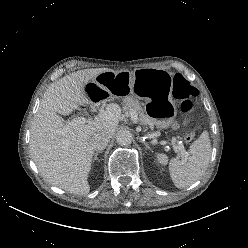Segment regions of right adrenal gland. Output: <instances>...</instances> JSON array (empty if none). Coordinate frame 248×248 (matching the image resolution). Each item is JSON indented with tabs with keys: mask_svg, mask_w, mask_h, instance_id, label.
Masks as SVG:
<instances>
[{
	"mask_svg": "<svg viewBox=\"0 0 248 248\" xmlns=\"http://www.w3.org/2000/svg\"><path fill=\"white\" fill-rule=\"evenodd\" d=\"M102 151H97L95 154H94V157H93V160H98L97 159V155L99 154V153H101Z\"/></svg>",
	"mask_w": 248,
	"mask_h": 248,
	"instance_id": "right-adrenal-gland-1",
	"label": "right adrenal gland"
}]
</instances>
